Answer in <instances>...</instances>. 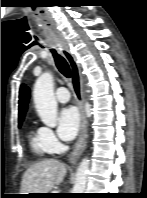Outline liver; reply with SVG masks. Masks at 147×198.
I'll return each mask as SVG.
<instances>
[{
    "label": "liver",
    "instance_id": "6515ba94",
    "mask_svg": "<svg viewBox=\"0 0 147 198\" xmlns=\"http://www.w3.org/2000/svg\"><path fill=\"white\" fill-rule=\"evenodd\" d=\"M67 173L64 163L56 159H45L33 164L23 175L22 194L49 193L55 185H59Z\"/></svg>",
    "mask_w": 147,
    "mask_h": 198
}]
</instances>
